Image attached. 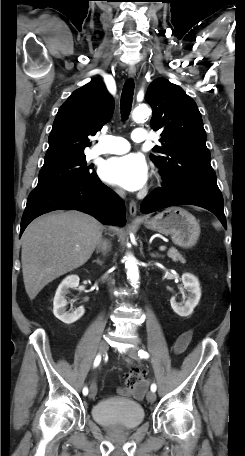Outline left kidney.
Here are the masks:
<instances>
[{
	"label": "left kidney",
	"instance_id": "obj_1",
	"mask_svg": "<svg viewBox=\"0 0 245 456\" xmlns=\"http://www.w3.org/2000/svg\"><path fill=\"white\" fill-rule=\"evenodd\" d=\"M184 290L188 293L187 300L178 303L175 297L170 300L173 311L181 317H187L192 314L194 308L198 305L201 297V289L198 279L189 273L182 275Z\"/></svg>",
	"mask_w": 245,
	"mask_h": 456
}]
</instances>
